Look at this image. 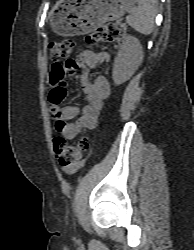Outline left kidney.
Here are the masks:
<instances>
[{"label":"left kidney","mask_w":194,"mask_h":250,"mask_svg":"<svg viewBox=\"0 0 194 250\" xmlns=\"http://www.w3.org/2000/svg\"><path fill=\"white\" fill-rule=\"evenodd\" d=\"M143 47L139 40L131 35L124 38L115 58L112 78L115 84L126 82L142 63Z\"/></svg>","instance_id":"left-kidney-1"}]
</instances>
